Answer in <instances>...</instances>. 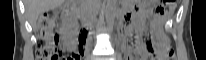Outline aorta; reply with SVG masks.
Returning a JSON list of instances; mask_svg holds the SVG:
<instances>
[{
  "instance_id": "obj_1",
  "label": "aorta",
  "mask_w": 206,
  "mask_h": 60,
  "mask_svg": "<svg viewBox=\"0 0 206 60\" xmlns=\"http://www.w3.org/2000/svg\"><path fill=\"white\" fill-rule=\"evenodd\" d=\"M116 15V0H107L105 16L108 29H112L114 26V20Z\"/></svg>"
}]
</instances>
